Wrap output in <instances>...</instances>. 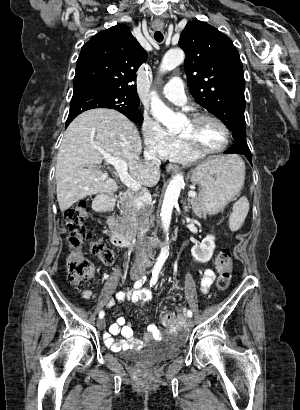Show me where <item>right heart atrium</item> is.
Wrapping results in <instances>:
<instances>
[{"label": "right heart atrium", "mask_w": 300, "mask_h": 410, "mask_svg": "<svg viewBox=\"0 0 300 410\" xmlns=\"http://www.w3.org/2000/svg\"><path fill=\"white\" fill-rule=\"evenodd\" d=\"M142 136L145 150L158 158H166L176 143V138L164 129L156 120L144 116Z\"/></svg>", "instance_id": "obj_1"}]
</instances>
